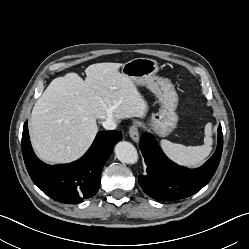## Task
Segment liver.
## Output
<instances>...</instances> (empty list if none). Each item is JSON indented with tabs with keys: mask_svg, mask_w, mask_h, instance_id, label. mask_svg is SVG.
<instances>
[{
	"mask_svg": "<svg viewBox=\"0 0 249 249\" xmlns=\"http://www.w3.org/2000/svg\"><path fill=\"white\" fill-rule=\"evenodd\" d=\"M120 63H97L54 79L36 101L29 124L33 148L43 161L68 163L80 158L98 131L96 119L142 118L148 111Z\"/></svg>",
	"mask_w": 249,
	"mask_h": 249,
	"instance_id": "liver-1",
	"label": "liver"
}]
</instances>
